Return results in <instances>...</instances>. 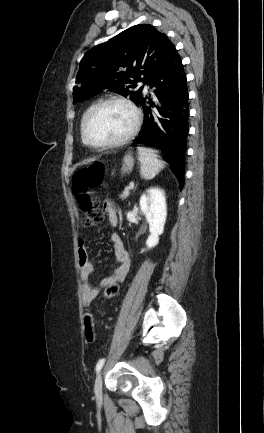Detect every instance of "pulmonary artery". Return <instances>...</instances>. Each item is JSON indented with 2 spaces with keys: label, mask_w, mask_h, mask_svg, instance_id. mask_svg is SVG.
I'll return each instance as SVG.
<instances>
[{
  "label": "pulmonary artery",
  "mask_w": 264,
  "mask_h": 433,
  "mask_svg": "<svg viewBox=\"0 0 264 433\" xmlns=\"http://www.w3.org/2000/svg\"><path fill=\"white\" fill-rule=\"evenodd\" d=\"M148 89V86L147 85H145V90H147Z\"/></svg>",
  "instance_id": "obj_1"
}]
</instances>
